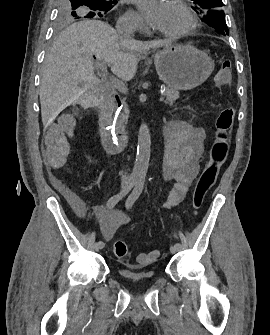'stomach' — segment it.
<instances>
[{"mask_svg":"<svg viewBox=\"0 0 270 335\" xmlns=\"http://www.w3.org/2000/svg\"><path fill=\"white\" fill-rule=\"evenodd\" d=\"M156 72L171 90H193L214 70V60L195 46H166L154 56Z\"/></svg>","mask_w":270,"mask_h":335,"instance_id":"obj_1","label":"stomach"}]
</instances>
